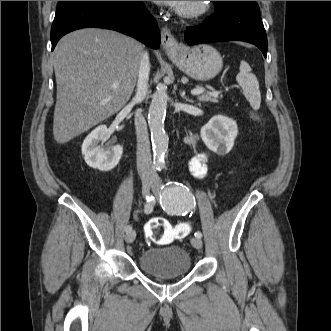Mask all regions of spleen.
<instances>
[{
    "instance_id": "spleen-1",
    "label": "spleen",
    "mask_w": 331,
    "mask_h": 331,
    "mask_svg": "<svg viewBox=\"0 0 331 331\" xmlns=\"http://www.w3.org/2000/svg\"><path fill=\"white\" fill-rule=\"evenodd\" d=\"M237 82L242 87L245 98L249 101L254 110H258L261 104V94L259 82L254 74L251 73V67L247 62H240V73L236 77Z\"/></svg>"
}]
</instances>
